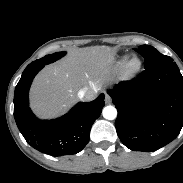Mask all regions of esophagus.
<instances>
[{
  "mask_svg": "<svg viewBox=\"0 0 183 183\" xmlns=\"http://www.w3.org/2000/svg\"><path fill=\"white\" fill-rule=\"evenodd\" d=\"M105 102H106L107 104L111 103V97H110L109 95H106V96H105Z\"/></svg>",
  "mask_w": 183,
  "mask_h": 183,
  "instance_id": "esophagus-1",
  "label": "esophagus"
}]
</instances>
